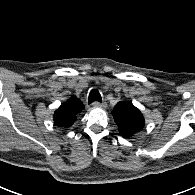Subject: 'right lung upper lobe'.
Wrapping results in <instances>:
<instances>
[{
  "label": "right lung upper lobe",
  "mask_w": 195,
  "mask_h": 195,
  "mask_svg": "<svg viewBox=\"0 0 195 195\" xmlns=\"http://www.w3.org/2000/svg\"><path fill=\"white\" fill-rule=\"evenodd\" d=\"M84 109V105L77 97L72 96L54 113V122L59 127H70L76 121V115Z\"/></svg>",
  "instance_id": "cb5924a9"
}]
</instances>
